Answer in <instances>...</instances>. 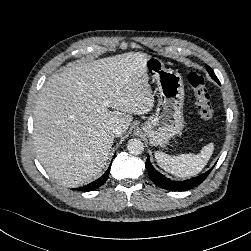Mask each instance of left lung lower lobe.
<instances>
[{
    "instance_id": "1",
    "label": "left lung lower lobe",
    "mask_w": 251,
    "mask_h": 251,
    "mask_svg": "<svg viewBox=\"0 0 251 251\" xmlns=\"http://www.w3.org/2000/svg\"><path fill=\"white\" fill-rule=\"evenodd\" d=\"M217 82L219 83L218 80H217ZM146 167H147V171H148L150 179L158 187L166 189V190H170V191L190 190V189L200 185L206 179V177L209 175V173L212 170V168H211L207 172H205L197 177L185 180V181H172V180L168 179L167 177H165L164 175H162L161 173H159L152 166L150 159H149V156L146 160Z\"/></svg>"
}]
</instances>
